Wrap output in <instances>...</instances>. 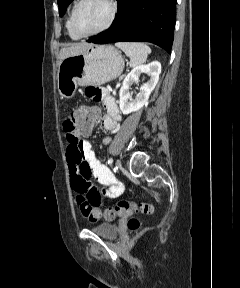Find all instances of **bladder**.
<instances>
[{
    "label": "bladder",
    "mask_w": 240,
    "mask_h": 288,
    "mask_svg": "<svg viewBox=\"0 0 240 288\" xmlns=\"http://www.w3.org/2000/svg\"><path fill=\"white\" fill-rule=\"evenodd\" d=\"M91 230L98 236L109 240L115 239L119 232L118 226L111 223H101L91 227Z\"/></svg>",
    "instance_id": "1"
}]
</instances>
